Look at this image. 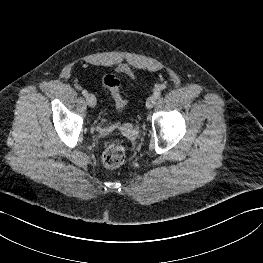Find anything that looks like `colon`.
I'll list each match as a JSON object with an SVG mask.
<instances>
[{"instance_id":"obj_1","label":"colon","mask_w":263,"mask_h":263,"mask_svg":"<svg viewBox=\"0 0 263 263\" xmlns=\"http://www.w3.org/2000/svg\"><path fill=\"white\" fill-rule=\"evenodd\" d=\"M103 85L112 95L116 107L121 111L125 101L120 94V81L114 74H106L103 77ZM126 156L125 147L120 142H112L107 145L102 154L103 164L108 168H117L123 164Z\"/></svg>"}]
</instances>
